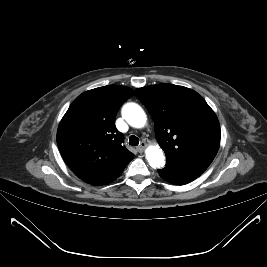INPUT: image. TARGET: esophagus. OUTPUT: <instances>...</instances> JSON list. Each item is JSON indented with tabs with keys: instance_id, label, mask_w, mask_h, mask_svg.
I'll use <instances>...</instances> for the list:
<instances>
[{
	"instance_id": "34e87169",
	"label": "esophagus",
	"mask_w": 267,
	"mask_h": 267,
	"mask_svg": "<svg viewBox=\"0 0 267 267\" xmlns=\"http://www.w3.org/2000/svg\"><path fill=\"white\" fill-rule=\"evenodd\" d=\"M146 147V144L144 142L141 143L140 146H138L137 150L142 153Z\"/></svg>"
}]
</instances>
